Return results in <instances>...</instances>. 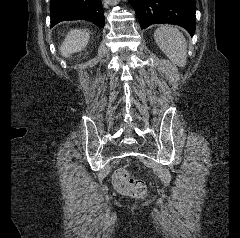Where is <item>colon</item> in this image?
<instances>
[{"label": "colon", "mask_w": 240, "mask_h": 238, "mask_svg": "<svg viewBox=\"0 0 240 238\" xmlns=\"http://www.w3.org/2000/svg\"><path fill=\"white\" fill-rule=\"evenodd\" d=\"M113 183L118 191L133 198H142L147 194L146 184L142 180L130 177L124 168L115 172Z\"/></svg>", "instance_id": "colon-1"}]
</instances>
